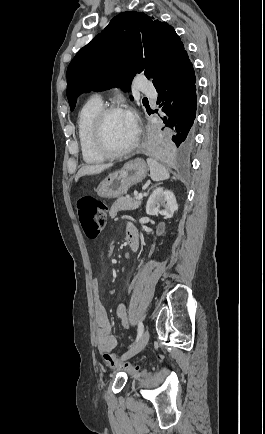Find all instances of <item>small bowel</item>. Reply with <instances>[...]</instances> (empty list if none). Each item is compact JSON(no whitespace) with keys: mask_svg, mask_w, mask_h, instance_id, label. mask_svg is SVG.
Wrapping results in <instances>:
<instances>
[{"mask_svg":"<svg viewBox=\"0 0 265 434\" xmlns=\"http://www.w3.org/2000/svg\"><path fill=\"white\" fill-rule=\"evenodd\" d=\"M126 239L130 245L131 241H136L139 246V234L133 224H127L125 229ZM91 287L94 292L95 305H94V320L95 328V343L99 352H112L117 344L116 338L112 334L111 324L105 309V306L100 296V282L98 279H93ZM116 315L120 319L122 325L128 328L127 308L124 303H120L116 307Z\"/></svg>","mask_w":265,"mask_h":434,"instance_id":"c3829d8e","label":"small bowel"}]
</instances>
